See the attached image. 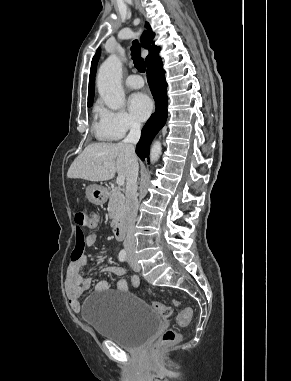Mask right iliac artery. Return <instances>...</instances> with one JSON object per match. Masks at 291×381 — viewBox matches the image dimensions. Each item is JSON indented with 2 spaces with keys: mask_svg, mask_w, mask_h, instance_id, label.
Instances as JSON below:
<instances>
[{
  "mask_svg": "<svg viewBox=\"0 0 291 381\" xmlns=\"http://www.w3.org/2000/svg\"><path fill=\"white\" fill-rule=\"evenodd\" d=\"M119 260L121 262H124L126 260V251L125 250H121L120 253H119Z\"/></svg>",
  "mask_w": 291,
  "mask_h": 381,
  "instance_id": "right-iliac-artery-1",
  "label": "right iliac artery"
}]
</instances>
